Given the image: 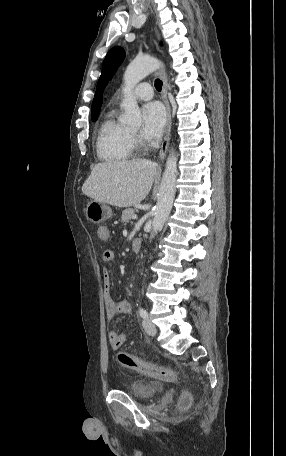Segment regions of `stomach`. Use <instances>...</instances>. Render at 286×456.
Returning a JSON list of instances; mask_svg holds the SVG:
<instances>
[{
    "mask_svg": "<svg viewBox=\"0 0 286 456\" xmlns=\"http://www.w3.org/2000/svg\"><path fill=\"white\" fill-rule=\"evenodd\" d=\"M112 216V209L105 203L91 201L86 208L87 219L95 224H99Z\"/></svg>",
    "mask_w": 286,
    "mask_h": 456,
    "instance_id": "obj_1",
    "label": "stomach"
}]
</instances>
